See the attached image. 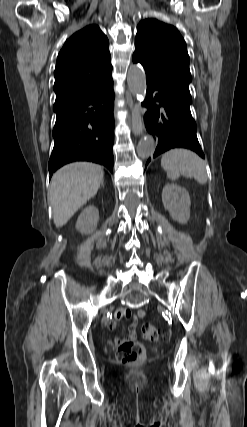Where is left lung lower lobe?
<instances>
[{
	"mask_svg": "<svg viewBox=\"0 0 247 427\" xmlns=\"http://www.w3.org/2000/svg\"><path fill=\"white\" fill-rule=\"evenodd\" d=\"M154 91L157 93L152 96ZM143 106L148 108L144 116L146 127L150 133L158 137V146L153 157L172 148H187L202 158L205 157L197 139V127L189 104L147 81L146 100ZM161 107L163 112H160ZM150 160L149 158L147 164Z\"/></svg>",
	"mask_w": 247,
	"mask_h": 427,
	"instance_id": "0a47b994",
	"label": "left lung lower lobe"
}]
</instances>
